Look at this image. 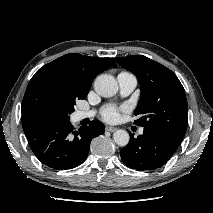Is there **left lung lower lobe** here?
Wrapping results in <instances>:
<instances>
[{
	"label": "left lung lower lobe",
	"instance_id": "1",
	"mask_svg": "<svg viewBox=\"0 0 213 213\" xmlns=\"http://www.w3.org/2000/svg\"><path fill=\"white\" fill-rule=\"evenodd\" d=\"M182 139L169 131L144 128L137 138L130 134V141L120 150V156L126 166L137 171L157 169L175 153Z\"/></svg>",
	"mask_w": 213,
	"mask_h": 213
}]
</instances>
